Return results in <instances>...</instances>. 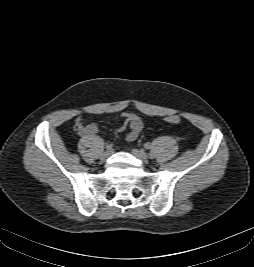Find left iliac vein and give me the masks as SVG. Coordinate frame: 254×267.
<instances>
[{"instance_id": "4c4485c4", "label": "left iliac vein", "mask_w": 254, "mask_h": 267, "mask_svg": "<svg viewBox=\"0 0 254 267\" xmlns=\"http://www.w3.org/2000/svg\"><path fill=\"white\" fill-rule=\"evenodd\" d=\"M132 154L144 163L149 162L148 155L143 150L133 149Z\"/></svg>"}]
</instances>
